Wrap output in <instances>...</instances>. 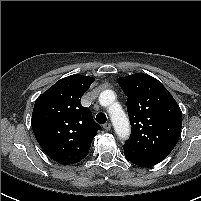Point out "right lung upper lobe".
Instances as JSON below:
<instances>
[{
    "instance_id": "right-lung-upper-lobe-1",
    "label": "right lung upper lobe",
    "mask_w": 201,
    "mask_h": 201,
    "mask_svg": "<svg viewBox=\"0 0 201 201\" xmlns=\"http://www.w3.org/2000/svg\"><path fill=\"white\" fill-rule=\"evenodd\" d=\"M94 78L71 75L60 79L36 101L32 129L43 151L54 161L69 165L87 156L101 129L89 108L80 102Z\"/></svg>"
}]
</instances>
